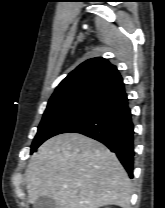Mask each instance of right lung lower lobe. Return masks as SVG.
<instances>
[{
	"label": "right lung lower lobe",
	"instance_id": "obj_1",
	"mask_svg": "<svg viewBox=\"0 0 165 208\" xmlns=\"http://www.w3.org/2000/svg\"><path fill=\"white\" fill-rule=\"evenodd\" d=\"M124 91L116 93L98 104L78 122L62 133H80L91 137L114 152L129 177H133L134 126Z\"/></svg>",
	"mask_w": 165,
	"mask_h": 208
}]
</instances>
